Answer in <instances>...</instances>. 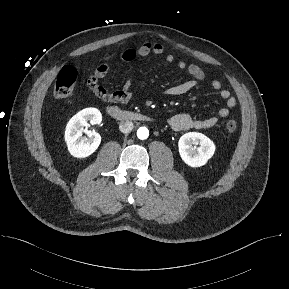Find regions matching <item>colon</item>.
<instances>
[{
	"mask_svg": "<svg viewBox=\"0 0 289 289\" xmlns=\"http://www.w3.org/2000/svg\"><path fill=\"white\" fill-rule=\"evenodd\" d=\"M77 79V72L71 66L64 67L55 82L53 88V95L58 99H63L71 96L75 90V84ZM237 129V123L235 120L230 119L226 122V130L229 133L235 132Z\"/></svg>",
	"mask_w": 289,
	"mask_h": 289,
	"instance_id": "obj_1",
	"label": "colon"
}]
</instances>
